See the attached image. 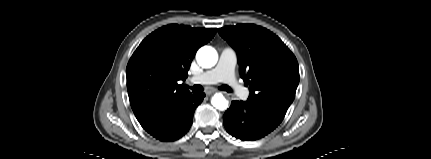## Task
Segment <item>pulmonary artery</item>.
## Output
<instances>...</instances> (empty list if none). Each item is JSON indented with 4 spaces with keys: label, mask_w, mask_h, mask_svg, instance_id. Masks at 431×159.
<instances>
[{
    "label": "pulmonary artery",
    "mask_w": 431,
    "mask_h": 159,
    "mask_svg": "<svg viewBox=\"0 0 431 159\" xmlns=\"http://www.w3.org/2000/svg\"><path fill=\"white\" fill-rule=\"evenodd\" d=\"M236 65L237 54L235 50L231 47H225L220 53L216 66L192 77L191 82L195 84H215L224 82L228 84L241 99H247L249 90L238 83L235 77Z\"/></svg>",
    "instance_id": "pulmonary-artery-1"
}]
</instances>
